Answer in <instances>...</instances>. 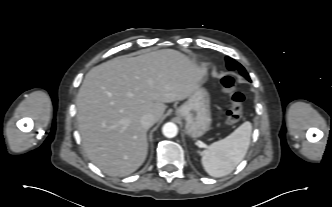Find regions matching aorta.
Here are the masks:
<instances>
[{
    "instance_id": "762f6f07",
    "label": "aorta",
    "mask_w": 332,
    "mask_h": 207,
    "mask_svg": "<svg viewBox=\"0 0 332 207\" xmlns=\"http://www.w3.org/2000/svg\"><path fill=\"white\" fill-rule=\"evenodd\" d=\"M163 135L166 136L167 138H173L177 135L178 133V128L176 124L172 122H168L164 124L162 128Z\"/></svg>"
}]
</instances>
